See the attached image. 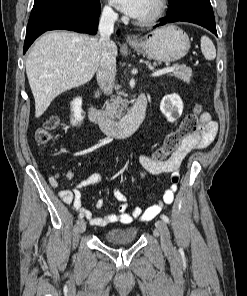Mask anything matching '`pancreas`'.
<instances>
[{
    "instance_id": "1",
    "label": "pancreas",
    "mask_w": 247,
    "mask_h": 296,
    "mask_svg": "<svg viewBox=\"0 0 247 296\" xmlns=\"http://www.w3.org/2000/svg\"><path fill=\"white\" fill-rule=\"evenodd\" d=\"M174 67L175 70L170 75L175 76L183 82H190L192 77V69L190 67L186 65H175ZM121 96H125L124 92H118V96L112 99L110 103H107L105 112L110 118H120L122 111L126 108L127 100L122 99Z\"/></svg>"
}]
</instances>
